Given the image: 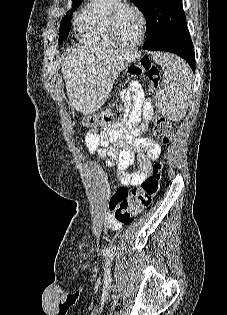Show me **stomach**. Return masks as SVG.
<instances>
[{
	"instance_id": "0dacf381",
	"label": "stomach",
	"mask_w": 227,
	"mask_h": 315,
	"mask_svg": "<svg viewBox=\"0 0 227 315\" xmlns=\"http://www.w3.org/2000/svg\"><path fill=\"white\" fill-rule=\"evenodd\" d=\"M106 115H108V112H107V111H105V112H103L102 114L98 115V116H97V120H98V118H102L103 116H106Z\"/></svg>"
}]
</instances>
